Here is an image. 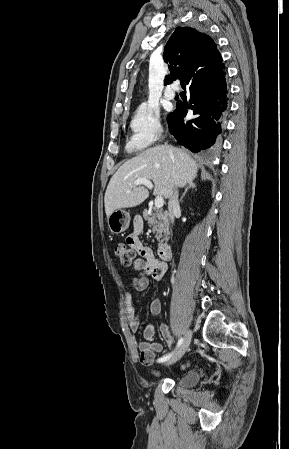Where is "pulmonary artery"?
Returning a JSON list of instances; mask_svg holds the SVG:
<instances>
[{
	"label": "pulmonary artery",
	"instance_id": "pulmonary-artery-1",
	"mask_svg": "<svg viewBox=\"0 0 289 449\" xmlns=\"http://www.w3.org/2000/svg\"><path fill=\"white\" fill-rule=\"evenodd\" d=\"M176 94V89L173 87H168L165 91V97L167 99H173L175 97Z\"/></svg>",
	"mask_w": 289,
	"mask_h": 449
}]
</instances>
